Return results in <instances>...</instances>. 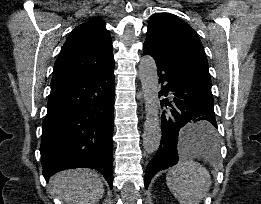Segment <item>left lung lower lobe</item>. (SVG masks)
<instances>
[{"instance_id": "1", "label": "left lung lower lobe", "mask_w": 261, "mask_h": 204, "mask_svg": "<svg viewBox=\"0 0 261 204\" xmlns=\"http://www.w3.org/2000/svg\"><path fill=\"white\" fill-rule=\"evenodd\" d=\"M144 54L151 55L158 67L159 82L162 91L159 96L172 92L174 98L161 101V106H168L162 113V140L160 147L147 166L145 188L151 178L159 171L169 168L178 162L182 149L195 150L199 143L206 141L211 145L216 137L217 123L214 113L211 81L188 67L170 60L157 53L153 48L143 47ZM188 122L197 123L188 133L183 126Z\"/></svg>"}]
</instances>
